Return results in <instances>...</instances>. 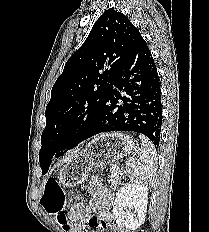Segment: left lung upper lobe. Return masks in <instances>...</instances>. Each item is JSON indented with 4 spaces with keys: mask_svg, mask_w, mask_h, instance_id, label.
Masks as SVG:
<instances>
[{
    "mask_svg": "<svg viewBox=\"0 0 209 232\" xmlns=\"http://www.w3.org/2000/svg\"><path fill=\"white\" fill-rule=\"evenodd\" d=\"M141 37L127 16L109 9L98 18L83 45L68 59L53 85L45 111L46 127L39 152L43 174L48 171L55 153L69 150L82 141Z\"/></svg>",
    "mask_w": 209,
    "mask_h": 232,
    "instance_id": "obj_1",
    "label": "left lung upper lobe"
}]
</instances>
